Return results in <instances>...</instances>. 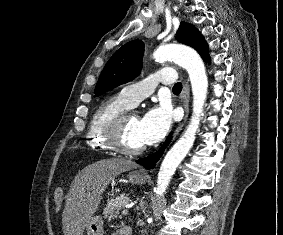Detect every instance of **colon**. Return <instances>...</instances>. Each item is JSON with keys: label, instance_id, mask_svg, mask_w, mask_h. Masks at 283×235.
Masks as SVG:
<instances>
[{"label": "colon", "instance_id": "1", "mask_svg": "<svg viewBox=\"0 0 283 235\" xmlns=\"http://www.w3.org/2000/svg\"><path fill=\"white\" fill-rule=\"evenodd\" d=\"M64 191L61 186H58L54 191V204L56 208H59L63 202Z\"/></svg>", "mask_w": 283, "mask_h": 235}]
</instances>
